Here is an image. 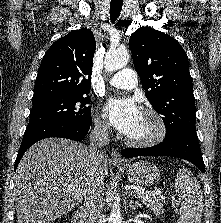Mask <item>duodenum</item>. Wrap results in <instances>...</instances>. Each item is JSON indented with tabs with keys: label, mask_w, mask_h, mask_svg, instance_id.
Returning <instances> with one entry per match:
<instances>
[{
	"label": "duodenum",
	"mask_w": 221,
	"mask_h": 223,
	"mask_svg": "<svg viewBox=\"0 0 221 223\" xmlns=\"http://www.w3.org/2000/svg\"><path fill=\"white\" fill-rule=\"evenodd\" d=\"M72 223H85V211L83 206H80L73 217Z\"/></svg>",
	"instance_id": "duodenum-1"
}]
</instances>
